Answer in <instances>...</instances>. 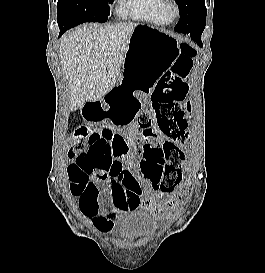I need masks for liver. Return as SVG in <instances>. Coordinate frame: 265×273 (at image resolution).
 Masks as SVG:
<instances>
[{
	"instance_id": "obj_1",
	"label": "liver",
	"mask_w": 265,
	"mask_h": 273,
	"mask_svg": "<svg viewBox=\"0 0 265 273\" xmlns=\"http://www.w3.org/2000/svg\"><path fill=\"white\" fill-rule=\"evenodd\" d=\"M137 26L131 22L86 24L62 38L61 64L69 83L71 110L101 99L115 86Z\"/></svg>"
}]
</instances>
